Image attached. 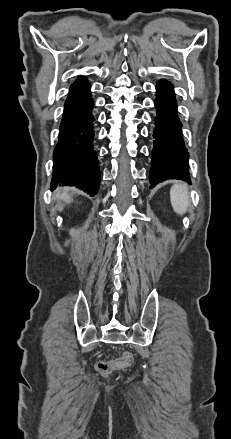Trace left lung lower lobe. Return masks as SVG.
Instances as JSON below:
<instances>
[{
  "label": "left lung lower lobe",
  "instance_id": "1",
  "mask_svg": "<svg viewBox=\"0 0 231 439\" xmlns=\"http://www.w3.org/2000/svg\"><path fill=\"white\" fill-rule=\"evenodd\" d=\"M156 90L157 111L154 118L150 188L168 179H180L190 183L188 152L182 139V123L177 115L173 85L166 80H160Z\"/></svg>",
  "mask_w": 231,
  "mask_h": 439
}]
</instances>
